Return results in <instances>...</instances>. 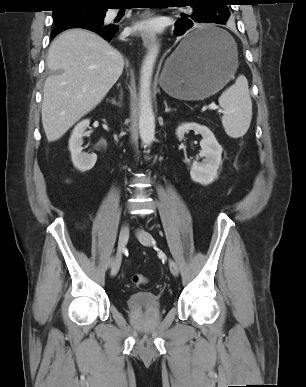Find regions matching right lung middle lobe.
<instances>
[{"label":"right lung middle lobe","instance_id":"obj_1","mask_svg":"<svg viewBox=\"0 0 306 387\" xmlns=\"http://www.w3.org/2000/svg\"><path fill=\"white\" fill-rule=\"evenodd\" d=\"M85 10L60 8L53 11L54 29L52 35L75 26L103 25L106 9L84 6Z\"/></svg>","mask_w":306,"mask_h":387}]
</instances>
